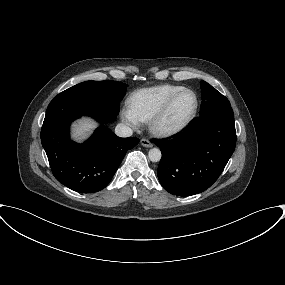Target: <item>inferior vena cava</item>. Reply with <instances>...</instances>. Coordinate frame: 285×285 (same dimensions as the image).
<instances>
[{
	"mask_svg": "<svg viewBox=\"0 0 285 285\" xmlns=\"http://www.w3.org/2000/svg\"><path fill=\"white\" fill-rule=\"evenodd\" d=\"M115 134L118 136V137H130L132 136L133 134V131L130 127L122 124V123H119L117 124L116 128H115Z\"/></svg>",
	"mask_w": 285,
	"mask_h": 285,
	"instance_id": "obj_1",
	"label": "inferior vena cava"
}]
</instances>
